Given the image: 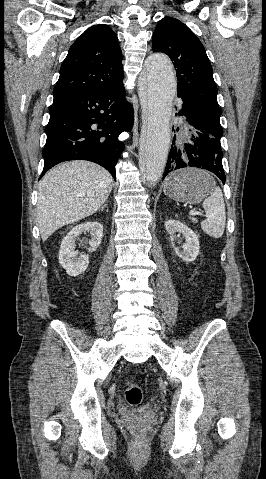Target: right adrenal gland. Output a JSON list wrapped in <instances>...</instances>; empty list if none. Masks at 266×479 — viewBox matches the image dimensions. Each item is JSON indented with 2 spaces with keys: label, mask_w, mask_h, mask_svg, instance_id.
Wrapping results in <instances>:
<instances>
[{
  "label": "right adrenal gland",
  "mask_w": 266,
  "mask_h": 479,
  "mask_svg": "<svg viewBox=\"0 0 266 479\" xmlns=\"http://www.w3.org/2000/svg\"><path fill=\"white\" fill-rule=\"evenodd\" d=\"M107 207V202L100 208L101 211H103Z\"/></svg>",
  "instance_id": "2a0ac1e0"
}]
</instances>
